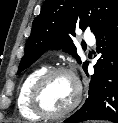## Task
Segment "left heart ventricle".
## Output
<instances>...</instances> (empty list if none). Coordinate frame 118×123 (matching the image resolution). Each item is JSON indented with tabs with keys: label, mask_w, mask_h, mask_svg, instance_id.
<instances>
[{
	"label": "left heart ventricle",
	"mask_w": 118,
	"mask_h": 123,
	"mask_svg": "<svg viewBox=\"0 0 118 123\" xmlns=\"http://www.w3.org/2000/svg\"><path fill=\"white\" fill-rule=\"evenodd\" d=\"M76 95V86L72 78L64 73L52 76L45 84L41 100L44 107L59 112L68 107Z\"/></svg>",
	"instance_id": "b2bd125f"
}]
</instances>
